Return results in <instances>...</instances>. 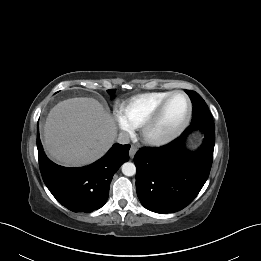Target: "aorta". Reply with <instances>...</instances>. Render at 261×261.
Listing matches in <instances>:
<instances>
[{"label":"aorta","mask_w":261,"mask_h":261,"mask_svg":"<svg viewBox=\"0 0 261 261\" xmlns=\"http://www.w3.org/2000/svg\"><path fill=\"white\" fill-rule=\"evenodd\" d=\"M121 168H122V173L125 176H133L136 173V167L131 162L124 163Z\"/></svg>","instance_id":"1"}]
</instances>
